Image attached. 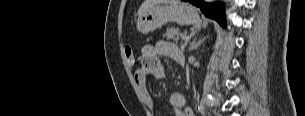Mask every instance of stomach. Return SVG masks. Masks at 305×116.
Segmentation results:
<instances>
[{
  "label": "stomach",
  "instance_id": "stomach-1",
  "mask_svg": "<svg viewBox=\"0 0 305 116\" xmlns=\"http://www.w3.org/2000/svg\"><path fill=\"white\" fill-rule=\"evenodd\" d=\"M168 22L190 25L199 23L200 18L196 9L184 2L169 5H153L139 17L137 29L142 34H148Z\"/></svg>",
  "mask_w": 305,
  "mask_h": 116
}]
</instances>
